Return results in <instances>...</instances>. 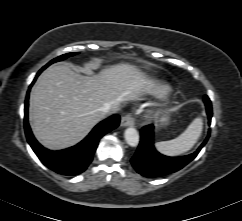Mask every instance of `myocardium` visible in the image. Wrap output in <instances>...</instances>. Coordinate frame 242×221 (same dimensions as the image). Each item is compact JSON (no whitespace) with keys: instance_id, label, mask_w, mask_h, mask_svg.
<instances>
[{"instance_id":"myocardium-1","label":"myocardium","mask_w":242,"mask_h":221,"mask_svg":"<svg viewBox=\"0 0 242 221\" xmlns=\"http://www.w3.org/2000/svg\"><path fill=\"white\" fill-rule=\"evenodd\" d=\"M159 115H160V112H159V111H152V112L149 114L150 118H152V119H156V118H158Z\"/></svg>"}]
</instances>
